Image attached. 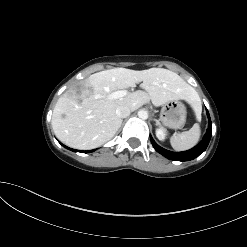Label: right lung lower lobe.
Returning <instances> with one entry per match:
<instances>
[{
  "instance_id": "right-lung-lower-lobe-1",
  "label": "right lung lower lobe",
  "mask_w": 247,
  "mask_h": 247,
  "mask_svg": "<svg viewBox=\"0 0 247 247\" xmlns=\"http://www.w3.org/2000/svg\"><path fill=\"white\" fill-rule=\"evenodd\" d=\"M61 144V143H60ZM63 145V144H62ZM64 147H66L65 145H63ZM66 148H68V147H66ZM68 149H70V150H72V151H75V152H83V153H90V152H92V151H94V150H90V151H79V150H75V149H71V148H68Z\"/></svg>"
}]
</instances>
